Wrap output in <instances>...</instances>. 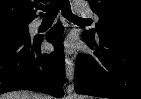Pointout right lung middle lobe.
Instances as JSON below:
<instances>
[{
    "mask_svg": "<svg viewBox=\"0 0 141 99\" xmlns=\"http://www.w3.org/2000/svg\"><path fill=\"white\" fill-rule=\"evenodd\" d=\"M30 21H2L0 35L29 37L28 24Z\"/></svg>",
    "mask_w": 141,
    "mask_h": 99,
    "instance_id": "1",
    "label": "right lung middle lobe"
}]
</instances>
